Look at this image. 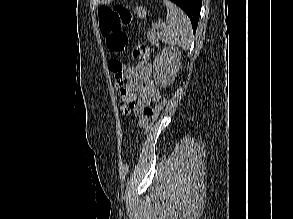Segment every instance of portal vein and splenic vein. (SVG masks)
Masks as SVG:
<instances>
[{
  "label": "portal vein and splenic vein",
  "instance_id": "1",
  "mask_svg": "<svg viewBox=\"0 0 293 219\" xmlns=\"http://www.w3.org/2000/svg\"><path fill=\"white\" fill-rule=\"evenodd\" d=\"M165 23H162V22H157V23H154L152 24V30H158V29H162V28H165Z\"/></svg>",
  "mask_w": 293,
  "mask_h": 219
}]
</instances>
